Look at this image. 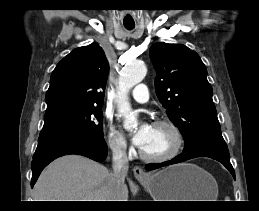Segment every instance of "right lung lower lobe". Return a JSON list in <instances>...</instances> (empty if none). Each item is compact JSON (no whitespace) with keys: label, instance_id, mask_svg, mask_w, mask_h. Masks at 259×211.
Instances as JSON below:
<instances>
[{"label":"right lung lower lobe","instance_id":"right-lung-lower-lobe-1","mask_svg":"<svg viewBox=\"0 0 259 211\" xmlns=\"http://www.w3.org/2000/svg\"><path fill=\"white\" fill-rule=\"evenodd\" d=\"M67 154H79L95 161H104L107 157L108 149L103 137H92L76 133L40 136L31 163V187L34 186L41 171L51 161Z\"/></svg>","mask_w":259,"mask_h":211}]
</instances>
